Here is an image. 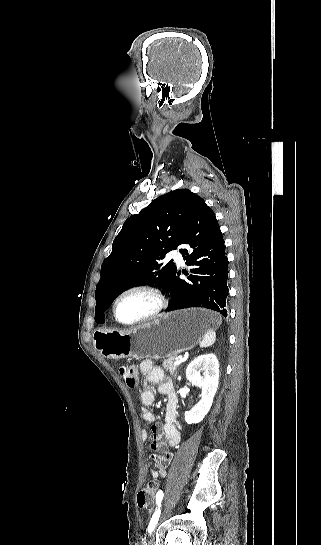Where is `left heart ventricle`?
<instances>
[{
  "label": "left heart ventricle",
  "mask_w": 321,
  "mask_h": 545,
  "mask_svg": "<svg viewBox=\"0 0 321 545\" xmlns=\"http://www.w3.org/2000/svg\"><path fill=\"white\" fill-rule=\"evenodd\" d=\"M156 306L155 298L146 292H133L122 297L117 314L123 322H134L149 315Z\"/></svg>",
  "instance_id": "b2bd125f"
}]
</instances>
